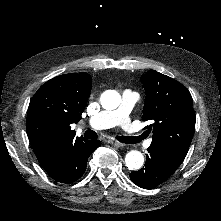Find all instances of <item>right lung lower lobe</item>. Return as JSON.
<instances>
[{
    "label": "right lung lower lobe",
    "instance_id": "obj_1",
    "mask_svg": "<svg viewBox=\"0 0 221 221\" xmlns=\"http://www.w3.org/2000/svg\"><path fill=\"white\" fill-rule=\"evenodd\" d=\"M100 145L101 142L99 140H80L64 150L44 169L55 181L63 183L74 182L83 175L89 156Z\"/></svg>",
    "mask_w": 221,
    "mask_h": 221
}]
</instances>
